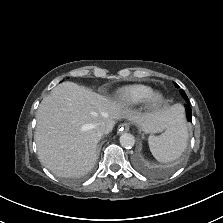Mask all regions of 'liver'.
I'll return each instance as SVG.
<instances>
[{"label":"liver","mask_w":223,"mask_h":223,"mask_svg":"<svg viewBox=\"0 0 223 223\" xmlns=\"http://www.w3.org/2000/svg\"><path fill=\"white\" fill-rule=\"evenodd\" d=\"M179 111L181 108L175 105L139 114L76 83L63 82L37 110L34 138L39 161L59 177L84 175L97 159L101 138L95 129L97 124L104 123L108 134L116 120L128 118L145 132L157 133L170 127Z\"/></svg>","instance_id":"liver-1"}]
</instances>
